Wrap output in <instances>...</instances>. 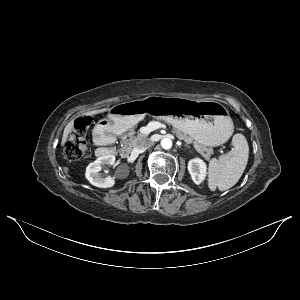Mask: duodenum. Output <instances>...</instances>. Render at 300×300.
<instances>
[{
    "instance_id": "obj_1",
    "label": "duodenum",
    "mask_w": 300,
    "mask_h": 300,
    "mask_svg": "<svg viewBox=\"0 0 300 300\" xmlns=\"http://www.w3.org/2000/svg\"><path fill=\"white\" fill-rule=\"evenodd\" d=\"M111 137L112 135L106 129H97L93 133V141L97 145L99 156L106 157L117 153Z\"/></svg>"
}]
</instances>
